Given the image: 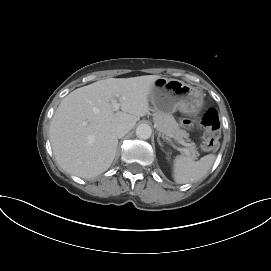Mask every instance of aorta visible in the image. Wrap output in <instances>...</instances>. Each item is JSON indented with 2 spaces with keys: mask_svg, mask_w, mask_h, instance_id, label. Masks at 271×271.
Segmentation results:
<instances>
[{
  "mask_svg": "<svg viewBox=\"0 0 271 271\" xmlns=\"http://www.w3.org/2000/svg\"><path fill=\"white\" fill-rule=\"evenodd\" d=\"M152 134V129L148 124H140L137 128H136V136L139 139H148L150 138Z\"/></svg>",
  "mask_w": 271,
  "mask_h": 271,
  "instance_id": "obj_1",
  "label": "aorta"
}]
</instances>
